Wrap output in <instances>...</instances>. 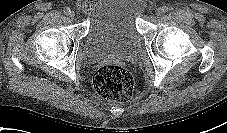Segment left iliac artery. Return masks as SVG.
<instances>
[{"mask_svg":"<svg viewBox=\"0 0 227 133\" xmlns=\"http://www.w3.org/2000/svg\"><path fill=\"white\" fill-rule=\"evenodd\" d=\"M170 10V8H168L167 6H163V12L166 13Z\"/></svg>","mask_w":227,"mask_h":133,"instance_id":"1","label":"left iliac artery"}]
</instances>
